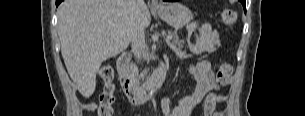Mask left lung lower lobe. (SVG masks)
Here are the masks:
<instances>
[{"label": "left lung lower lobe", "instance_id": "left-lung-lower-lobe-1", "mask_svg": "<svg viewBox=\"0 0 305 116\" xmlns=\"http://www.w3.org/2000/svg\"><path fill=\"white\" fill-rule=\"evenodd\" d=\"M240 2L242 3L244 9H245V0H240Z\"/></svg>", "mask_w": 305, "mask_h": 116}]
</instances>
